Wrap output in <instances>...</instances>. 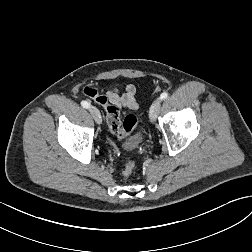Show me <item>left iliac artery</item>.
I'll list each match as a JSON object with an SVG mask.
<instances>
[{"label": "left iliac artery", "mask_w": 252, "mask_h": 252, "mask_svg": "<svg viewBox=\"0 0 252 252\" xmlns=\"http://www.w3.org/2000/svg\"><path fill=\"white\" fill-rule=\"evenodd\" d=\"M168 97V93L167 92H163L161 95H160V99L161 100H164Z\"/></svg>", "instance_id": "1"}]
</instances>
